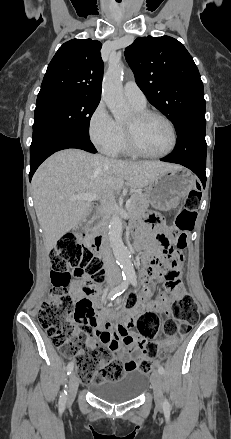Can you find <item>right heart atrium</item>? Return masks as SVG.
Listing matches in <instances>:
<instances>
[{"mask_svg":"<svg viewBox=\"0 0 231 439\" xmlns=\"http://www.w3.org/2000/svg\"><path fill=\"white\" fill-rule=\"evenodd\" d=\"M88 134L91 142L100 151L110 153L120 143L119 124L113 119L104 102H99L88 121Z\"/></svg>","mask_w":231,"mask_h":439,"instance_id":"d8ad5b80","label":"right heart atrium"}]
</instances>
